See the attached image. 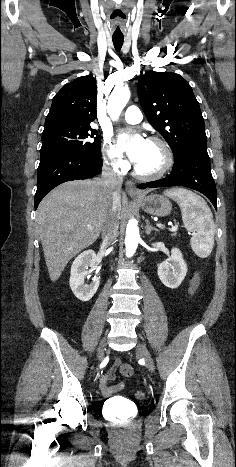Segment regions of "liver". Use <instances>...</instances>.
<instances>
[{
	"instance_id": "liver-1",
	"label": "liver",
	"mask_w": 236,
	"mask_h": 467,
	"mask_svg": "<svg viewBox=\"0 0 236 467\" xmlns=\"http://www.w3.org/2000/svg\"><path fill=\"white\" fill-rule=\"evenodd\" d=\"M116 201L119 218L120 191ZM111 203L100 179L65 182L40 202L36 222L51 281H57L70 259L97 240Z\"/></svg>"
}]
</instances>
